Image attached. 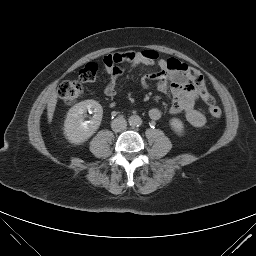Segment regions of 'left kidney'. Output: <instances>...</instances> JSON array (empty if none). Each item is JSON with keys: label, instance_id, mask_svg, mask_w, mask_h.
<instances>
[{"label": "left kidney", "instance_id": "5707ae66", "mask_svg": "<svg viewBox=\"0 0 256 256\" xmlns=\"http://www.w3.org/2000/svg\"><path fill=\"white\" fill-rule=\"evenodd\" d=\"M170 125L172 127V129L178 134V135H182L184 132V126H183V122L178 119V118H172L170 120Z\"/></svg>", "mask_w": 256, "mask_h": 256}]
</instances>
